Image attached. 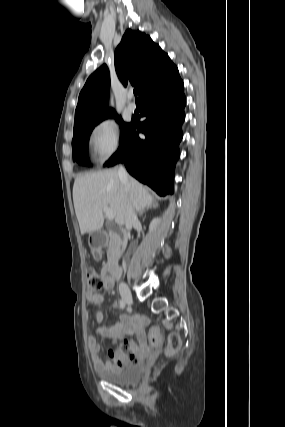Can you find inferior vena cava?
<instances>
[{"instance_id": "602c4592", "label": "inferior vena cava", "mask_w": 285, "mask_h": 427, "mask_svg": "<svg viewBox=\"0 0 285 427\" xmlns=\"http://www.w3.org/2000/svg\"><path fill=\"white\" fill-rule=\"evenodd\" d=\"M118 176L120 181L123 183L124 185V189L126 192V195L129 196L130 195V183H129V176L127 171L125 170V168L120 165L119 169H118ZM138 222V218L137 215L135 213V210L133 208V206L131 205L130 202H128L127 207H126V213H125V226L126 229L129 231L132 229V227Z\"/></svg>"}]
</instances>
